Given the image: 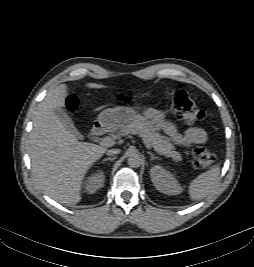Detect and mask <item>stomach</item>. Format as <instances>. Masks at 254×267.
Wrapping results in <instances>:
<instances>
[{"mask_svg": "<svg viewBox=\"0 0 254 267\" xmlns=\"http://www.w3.org/2000/svg\"><path fill=\"white\" fill-rule=\"evenodd\" d=\"M137 111L133 107L118 106L103 110L97 118V122L104 128L116 130L131 123L137 118Z\"/></svg>", "mask_w": 254, "mask_h": 267, "instance_id": "0dacf381", "label": "stomach"}]
</instances>
